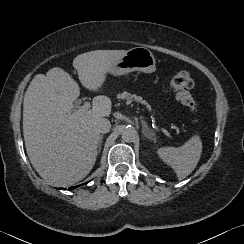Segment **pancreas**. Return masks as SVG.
I'll list each match as a JSON object with an SVG mask.
<instances>
[{
	"label": "pancreas",
	"instance_id": "cf45deb5",
	"mask_svg": "<svg viewBox=\"0 0 244 244\" xmlns=\"http://www.w3.org/2000/svg\"><path fill=\"white\" fill-rule=\"evenodd\" d=\"M118 99L121 100H127V101H137V102H141V103H146L145 101H143V99L140 96H136V95H131L128 92H123L121 94H119Z\"/></svg>",
	"mask_w": 244,
	"mask_h": 244
}]
</instances>
